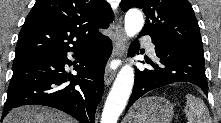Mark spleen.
I'll use <instances>...</instances> for the list:
<instances>
[{"instance_id":"spleen-1","label":"spleen","mask_w":221,"mask_h":123,"mask_svg":"<svg viewBox=\"0 0 221 123\" xmlns=\"http://www.w3.org/2000/svg\"><path fill=\"white\" fill-rule=\"evenodd\" d=\"M185 115L188 123H212L204 101L192 94L186 95Z\"/></svg>"}]
</instances>
